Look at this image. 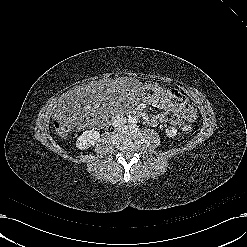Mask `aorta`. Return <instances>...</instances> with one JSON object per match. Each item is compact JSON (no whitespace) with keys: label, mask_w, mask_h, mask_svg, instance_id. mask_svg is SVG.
<instances>
[{"label":"aorta","mask_w":247,"mask_h":247,"mask_svg":"<svg viewBox=\"0 0 247 247\" xmlns=\"http://www.w3.org/2000/svg\"><path fill=\"white\" fill-rule=\"evenodd\" d=\"M128 122L131 123V124H137V122H138L137 116L130 115V116L128 117Z\"/></svg>","instance_id":"obj_1"}]
</instances>
